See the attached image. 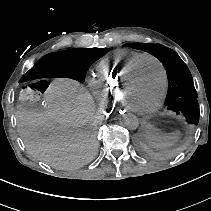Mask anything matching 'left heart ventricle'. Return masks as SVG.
<instances>
[{"label":"left heart ventricle","instance_id":"obj_1","mask_svg":"<svg viewBox=\"0 0 211 211\" xmlns=\"http://www.w3.org/2000/svg\"><path fill=\"white\" fill-rule=\"evenodd\" d=\"M162 87V74L157 63L143 62L129 84L127 101L138 108H148L158 99Z\"/></svg>","mask_w":211,"mask_h":211}]
</instances>
